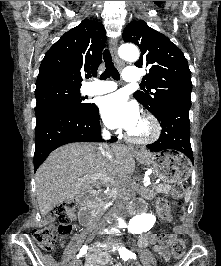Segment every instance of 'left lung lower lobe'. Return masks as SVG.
Wrapping results in <instances>:
<instances>
[{"label":"left lung lower lobe","mask_w":221,"mask_h":266,"mask_svg":"<svg viewBox=\"0 0 221 266\" xmlns=\"http://www.w3.org/2000/svg\"><path fill=\"white\" fill-rule=\"evenodd\" d=\"M162 126L159 139L147 145L151 152L171 150L181 152L193 162V153L190 144L189 108L172 106L168 107L156 117Z\"/></svg>","instance_id":"1"}]
</instances>
